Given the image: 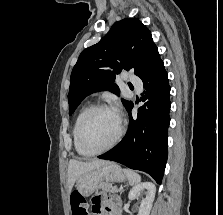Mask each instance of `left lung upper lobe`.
Returning <instances> with one entry per match:
<instances>
[{
	"label": "left lung upper lobe",
	"mask_w": 223,
	"mask_h": 215,
	"mask_svg": "<svg viewBox=\"0 0 223 215\" xmlns=\"http://www.w3.org/2000/svg\"><path fill=\"white\" fill-rule=\"evenodd\" d=\"M161 61L151 32L138 19L116 22L97 44L83 50L71 73L68 94L69 115L89 94L110 89L119 94L115 74L135 68L140 78ZM127 109L132 102L122 99Z\"/></svg>",
	"instance_id": "5c2ea615"
}]
</instances>
